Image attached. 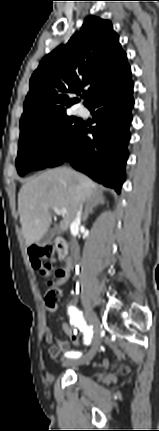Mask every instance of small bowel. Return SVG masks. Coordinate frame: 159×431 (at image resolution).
Returning <instances> with one entry per match:
<instances>
[{
    "mask_svg": "<svg viewBox=\"0 0 159 431\" xmlns=\"http://www.w3.org/2000/svg\"><path fill=\"white\" fill-rule=\"evenodd\" d=\"M71 268H72V266L68 262V263L65 264L64 267H62L60 269H57L56 270V280L52 281V282H49V285L50 286H52V285L56 286V285H62V284H64L69 279ZM43 334H44L45 341L47 343H52L53 336H52L51 330L48 327H44ZM69 348H70V343L68 341L62 340V339H58L56 341V344L53 345V346H51L49 348L48 353H49V356L52 359H55L61 353H65L66 354V353L72 352V351H69Z\"/></svg>",
    "mask_w": 159,
    "mask_h": 431,
    "instance_id": "1",
    "label": "small bowel"
}]
</instances>
